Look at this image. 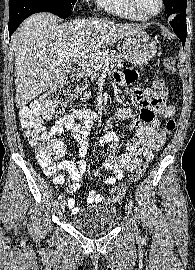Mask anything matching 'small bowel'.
Returning <instances> with one entry per match:
<instances>
[{
  "mask_svg": "<svg viewBox=\"0 0 195 270\" xmlns=\"http://www.w3.org/2000/svg\"><path fill=\"white\" fill-rule=\"evenodd\" d=\"M115 80L120 85H131L136 82L135 71L127 69L115 74ZM140 110L136 113L127 108H117L105 129L104 135L99 138V145L104 146L111 143V151L104 163V168L111 171L112 175L103 177L99 175L102 182L111 186V196L105 198L103 195L90 191L87 196V203H102L105 200L117 202L121 195L117 193L118 181L123 178L124 171H133L141 163L150 162L155 151L159 150L164 142L159 139L162 131L161 122L158 117L171 118L174 115V107L167 104L166 100H158L155 97L153 88H136L131 94ZM121 118L128 122L135 129V134L126 144V150L121 151L119 138L112 130V122ZM97 119V113L88 108H76L58 119L50 130V135L58 137L69 132L71 137L79 145L81 160L77 163L66 160L60 164V169L66 170L73 181L68 188V193L73 194L82 184V176L86 173L88 165L84 157L88 149V135ZM143 155L144 158L140 156ZM67 206L72 214H78L80 208L76 205L74 198L67 200Z\"/></svg>",
  "mask_w": 195,
  "mask_h": 270,
  "instance_id": "obj_1",
  "label": "small bowel"
}]
</instances>
